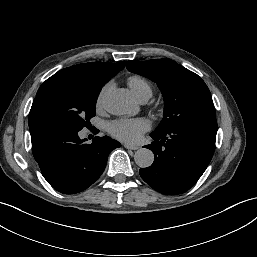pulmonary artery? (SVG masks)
<instances>
[{
	"label": "pulmonary artery",
	"instance_id": "pulmonary-artery-1",
	"mask_svg": "<svg viewBox=\"0 0 257 257\" xmlns=\"http://www.w3.org/2000/svg\"><path fill=\"white\" fill-rule=\"evenodd\" d=\"M148 99H149V98H147V97H143V98H141L139 101H140L141 103H145Z\"/></svg>",
	"mask_w": 257,
	"mask_h": 257
}]
</instances>
